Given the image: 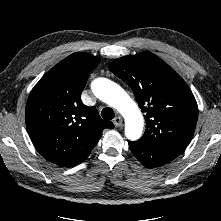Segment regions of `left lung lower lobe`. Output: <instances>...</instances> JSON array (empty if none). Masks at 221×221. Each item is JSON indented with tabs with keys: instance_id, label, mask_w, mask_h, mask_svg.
<instances>
[{
	"instance_id": "1",
	"label": "left lung lower lobe",
	"mask_w": 221,
	"mask_h": 221,
	"mask_svg": "<svg viewBox=\"0 0 221 221\" xmlns=\"http://www.w3.org/2000/svg\"><path fill=\"white\" fill-rule=\"evenodd\" d=\"M130 150L133 155L148 168H155L167 164L174 160L177 155H174L168 151H164L160 148L153 146L152 144L145 142L141 139L132 142L128 141Z\"/></svg>"
}]
</instances>
